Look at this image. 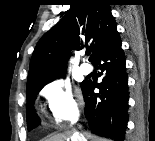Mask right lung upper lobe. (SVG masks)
<instances>
[{
  "label": "right lung upper lobe",
  "mask_w": 155,
  "mask_h": 141,
  "mask_svg": "<svg viewBox=\"0 0 155 141\" xmlns=\"http://www.w3.org/2000/svg\"><path fill=\"white\" fill-rule=\"evenodd\" d=\"M117 25L106 0H74L65 16L39 40L34 49L27 88L62 74L72 50L92 49L91 61ZM89 45V46H88Z\"/></svg>",
  "instance_id": "obj_1"
}]
</instances>
